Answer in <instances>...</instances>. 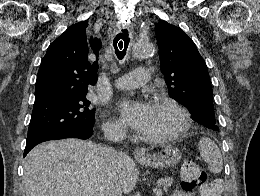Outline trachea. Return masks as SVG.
I'll return each instance as SVG.
<instances>
[{"label":"trachea","instance_id":"3493384b","mask_svg":"<svg viewBox=\"0 0 260 196\" xmlns=\"http://www.w3.org/2000/svg\"><path fill=\"white\" fill-rule=\"evenodd\" d=\"M130 42L128 36V30H122V33H118L113 40V47L115 49V54L119 60H123L126 55V51Z\"/></svg>","mask_w":260,"mask_h":196}]
</instances>
